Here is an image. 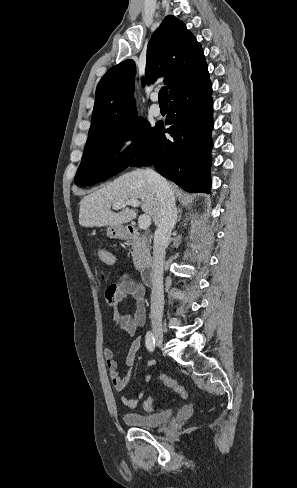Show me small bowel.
<instances>
[{"mask_svg":"<svg viewBox=\"0 0 297 488\" xmlns=\"http://www.w3.org/2000/svg\"><path fill=\"white\" fill-rule=\"evenodd\" d=\"M106 258L101 261L107 265H112L115 262V257L112 253L105 251ZM131 297L136 302V308L133 314H118L114 313L113 318L117 323L119 329L130 336H134L137 329L143 327L146 319V307H145V288L138 282L132 280L128 275H122L120 280L116 283V293L113 299V303L117 304L124 299ZM141 345V336H136L129 347L125 358V365L127 367V372L121 375L118 370V363L114 357V352L112 348L106 347L103 351V356L106 362L108 374L114 388L118 392H124L125 389L130 384L129 371L133 367L136 359V354ZM155 364L154 360L149 362L150 366ZM152 379L151 375L147 374L144 376L145 382H150ZM145 391L142 390L135 397H128L126 395H121L120 400L123 405L133 408L144 396Z\"/></svg>","mask_w":297,"mask_h":488,"instance_id":"small-bowel-1","label":"small bowel"}]
</instances>
